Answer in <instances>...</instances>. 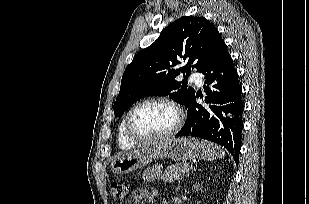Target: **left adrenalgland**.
I'll return each mask as SVG.
<instances>
[{"label": "left adrenal gland", "mask_w": 309, "mask_h": 204, "mask_svg": "<svg viewBox=\"0 0 309 204\" xmlns=\"http://www.w3.org/2000/svg\"><path fill=\"white\" fill-rule=\"evenodd\" d=\"M195 170V169H194ZM180 189V183L178 184L176 191H178Z\"/></svg>", "instance_id": "obj_1"}]
</instances>
